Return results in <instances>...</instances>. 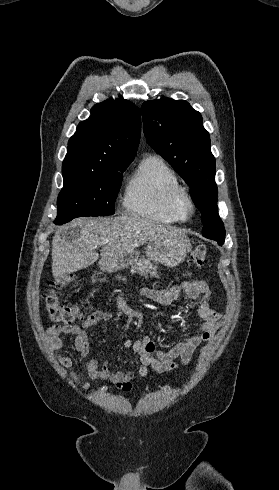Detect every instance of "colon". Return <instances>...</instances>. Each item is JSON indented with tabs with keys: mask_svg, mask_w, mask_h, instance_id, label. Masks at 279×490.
<instances>
[{
	"mask_svg": "<svg viewBox=\"0 0 279 490\" xmlns=\"http://www.w3.org/2000/svg\"><path fill=\"white\" fill-rule=\"evenodd\" d=\"M206 254V245L203 243L198 244L189 256V263L197 268L203 267L205 264ZM71 281L72 277L69 275H65L61 279L57 280L55 288H57V286L59 285H64ZM44 306L49 316V319L52 322L73 325L82 320L81 309L77 305H63L56 289L51 290L48 294L45 295Z\"/></svg>",
	"mask_w": 279,
	"mask_h": 490,
	"instance_id": "1",
	"label": "colon"
}]
</instances>
